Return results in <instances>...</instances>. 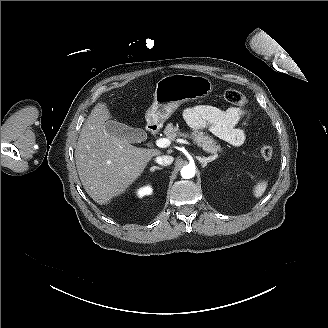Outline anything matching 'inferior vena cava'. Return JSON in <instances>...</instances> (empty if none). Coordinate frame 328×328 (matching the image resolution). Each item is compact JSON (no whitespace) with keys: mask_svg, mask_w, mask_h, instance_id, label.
I'll return each mask as SVG.
<instances>
[{"mask_svg":"<svg viewBox=\"0 0 328 328\" xmlns=\"http://www.w3.org/2000/svg\"><path fill=\"white\" fill-rule=\"evenodd\" d=\"M156 162L160 165H170L173 162V157L172 156H168V155H164V156H157L156 157Z\"/></svg>","mask_w":328,"mask_h":328,"instance_id":"1","label":"inferior vena cava"}]
</instances>
